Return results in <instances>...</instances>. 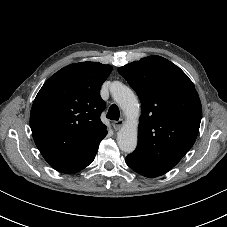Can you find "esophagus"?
Listing matches in <instances>:
<instances>
[{
  "instance_id": "1",
  "label": "esophagus",
  "mask_w": 227,
  "mask_h": 227,
  "mask_svg": "<svg viewBox=\"0 0 227 227\" xmlns=\"http://www.w3.org/2000/svg\"><path fill=\"white\" fill-rule=\"evenodd\" d=\"M123 124H124V119H120L113 123V127L115 130H119L123 126Z\"/></svg>"
}]
</instances>
